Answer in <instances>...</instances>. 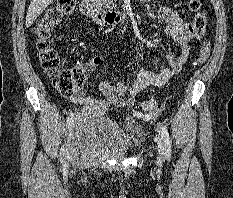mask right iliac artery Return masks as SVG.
I'll list each match as a JSON object with an SVG mask.
<instances>
[{"label":"right iliac artery","instance_id":"right-iliac-artery-1","mask_svg":"<svg viewBox=\"0 0 233 198\" xmlns=\"http://www.w3.org/2000/svg\"><path fill=\"white\" fill-rule=\"evenodd\" d=\"M74 119V114L71 113L69 117L67 118V126L69 127ZM65 156V146L63 145L60 150V157L63 159Z\"/></svg>","mask_w":233,"mask_h":198}]
</instances>
